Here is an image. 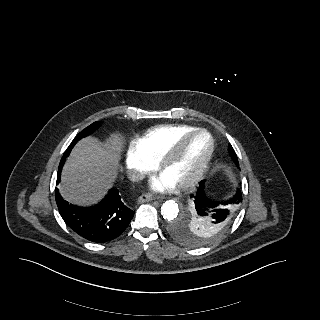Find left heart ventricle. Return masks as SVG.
<instances>
[{
    "label": "left heart ventricle",
    "instance_id": "obj_1",
    "mask_svg": "<svg viewBox=\"0 0 320 320\" xmlns=\"http://www.w3.org/2000/svg\"><path fill=\"white\" fill-rule=\"evenodd\" d=\"M206 150L207 139L205 136L192 138L186 144L179 157L163 171V176L175 184L180 183L195 170Z\"/></svg>",
    "mask_w": 320,
    "mask_h": 320
}]
</instances>
